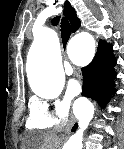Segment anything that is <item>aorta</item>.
Masks as SVG:
<instances>
[{
	"instance_id": "obj_1",
	"label": "aorta",
	"mask_w": 124,
	"mask_h": 149,
	"mask_svg": "<svg viewBox=\"0 0 124 149\" xmlns=\"http://www.w3.org/2000/svg\"><path fill=\"white\" fill-rule=\"evenodd\" d=\"M70 48L95 51V40L88 32L75 35L70 41ZM35 63L29 74L32 91L43 98L57 97L64 85L65 75L60 62V49L54 32L48 30L35 47ZM79 121L78 131L70 137L63 149H82L83 133L94 115V106L88 99H80L75 113Z\"/></svg>"
}]
</instances>
